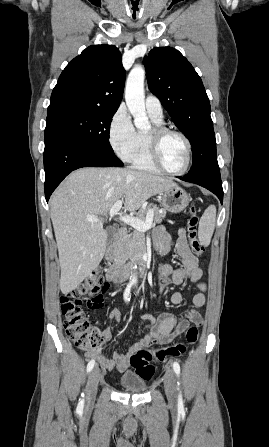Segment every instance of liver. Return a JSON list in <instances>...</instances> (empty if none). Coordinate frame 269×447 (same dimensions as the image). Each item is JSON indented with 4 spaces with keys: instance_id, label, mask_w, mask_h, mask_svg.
<instances>
[{
    "instance_id": "6515ba94",
    "label": "liver",
    "mask_w": 269,
    "mask_h": 447,
    "mask_svg": "<svg viewBox=\"0 0 269 447\" xmlns=\"http://www.w3.org/2000/svg\"><path fill=\"white\" fill-rule=\"evenodd\" d=\"M176 186L171 180L127 168H80L66 178L51 200V220L61 267L60 289H75L98 267L106 249L104 216L117 200L125 212H135L143 202ZM95 216L99 222H88Z\"/></svg>"
}]
</instances>
